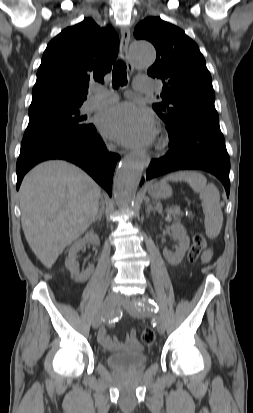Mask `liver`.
I'll list each match as a JSON object with an SVG mask.
<instances>
[{"label":"liver","mask_w":253,"mask_h":413,"mask_svg":"<svg viewBox=\"0 0 253 413\" xmlns=\"http://www.w3.org/2000/svg\"><path fill=\"white\" fill-rule=\"evenodd\" d=\"M19 196L25 238L37 258L50 268L92 224L101 192L77 166L51 160L24 177Z\"/></svg>","instance_id":"obj_1"}]
</instances>
